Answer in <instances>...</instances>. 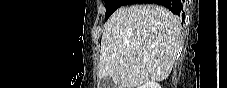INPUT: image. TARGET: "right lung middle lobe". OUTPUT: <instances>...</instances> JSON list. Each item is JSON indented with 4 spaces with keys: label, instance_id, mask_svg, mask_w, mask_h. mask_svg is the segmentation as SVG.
<instances>
[{
    "label": "right lung middle lobe",
    "instance_id": "1",
    "mask_svg": "<svg viewBox=\"0 0 227 88\" xmlns=\"http://www.w3.org/2000/svg\"><path fill=\"white\" fill-rule=\"evenodd\" d=\"M131 4V0H105L106 14L105 21L110 17V15L120 6Z\"/></svg>",
    "mask_w": 227,
    "mask_h": 88
}]
</instances>
